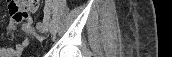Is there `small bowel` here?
I'll return each instance as SVG.
<instances>
[{"instance_id": "1", "label": "small bowel", "mask_w": 172, "mask_h": 57, "mask_svg": "<svg viewBox=\"0 0 172 57\" xmlns=\"http://www.w3.org/2000/svg\"><path fill=\"white\" fill-rule=\"evenodd\" d=\"M39 0L16 1L10 7V22L7 26V36L9 39L15 38V30L19 23L25 21L26 29L31 27V14L38 11ZM29 44V38L25 37L14 47H0L1 57H19L22 51Z\"/></svg>"}]
</instances>
